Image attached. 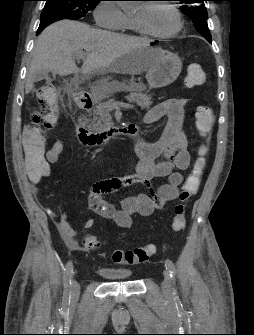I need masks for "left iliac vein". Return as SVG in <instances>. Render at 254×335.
Returning <instances> with one entry per match:
<instances>
[{
  "mask_svg": "<svg viewBox=\"0 0 254 335\" xmlns=\"http://www.w3.org/2000/svg\"><path fill=\"white\" fill-rule=\"evenodd\" d=\"M164 278L161 284L162 291L164 294H169L171 292V277L168 271H164Z\"/></svg>",
  "mask_w": 254,
  "mask_h": 335,
  "instance_id": "left-iliac-vein-1",
  "label": "left iliac vein"
}]
</instances>
